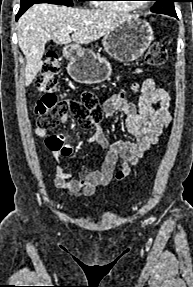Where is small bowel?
I'll return each instance as SVG.
<instances>
[{
  "label": "small bowel",
  "instance_id": "small-bowel-1",
  "mask_svg": "<svg viewBox=\"0 0 193 287\" xmlns=\"http://www.w3.org/2000/svg\"><path fill=\"white\" fill-rule=\"evenodd\" d=\"M169 95L156 86L154 78H147L142 84L138 103H132L120 93L112 94L103 103L106 116H112L117 111L122 112L125 126L129 133L135 136V141H111L100 126L94 133L82 138L85 143H96L106 150L101 164L91 170L84 178H73V172L66 168L64 159L71 155L70 149H76L77 142L67 139L66 132H52L37 128L35 134L46 137L45 148L52 152L55 163V185L69 194L91 195L100 186L109 184L112 180H123L131 174L144 153L158 141L163 130L169 125L171 116L168 112ZM69 120L68 114L60 118L62 124ZM120 161L119 169L116 166Z\"/></svg>",
  "mask_w": 193,
  "mask_h": 287
}]
</instances>
